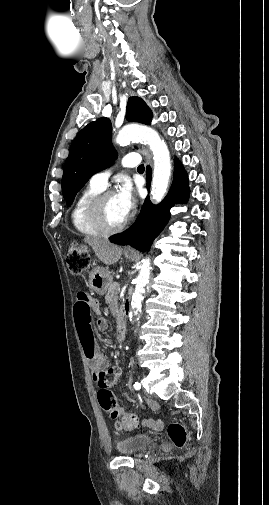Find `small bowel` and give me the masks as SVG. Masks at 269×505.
Instances as JSON below:
<instances>
[{
    "label": "small bowel",
    "mask_w": 269,
    "mask_h": 505,
    "mask_svg": "<svg viewBox=\"0 0 269 505\" xmlns=\"http://www.w3.org/2000/svg\"><path fill=\"white\" fill-rule=\"evenodd\" d=\"M76 297L77 298L74 302L76 328L85 356L91 363L93 378L97 381L99 373L108 367L107 359L98 351L91 325L92 313H99L100 309L98 303L94 302V299L91 298L87 289H78ZM96 325L100 331H105L108 326L106 320L103 318H99ZM117 370L120 374L119 368H117ZM142 424L151 428L162 427V423L160 421L152 419L144 420Z\"/></svg>",
    "instance_id": "1"
}]
</instances>
